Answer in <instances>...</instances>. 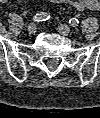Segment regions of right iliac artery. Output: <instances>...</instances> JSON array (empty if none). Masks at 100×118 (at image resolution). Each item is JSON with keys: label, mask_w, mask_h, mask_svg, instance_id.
Instances as JSON below:
<instances>
[{"label": "right iliac artery", "mask_w": 100, "mask_h": 118, "mask_svg": "<svg viewBox=\"0 0 100 118\" xmlns=\"http://www.w3.org/2000/svg\"><path fill=\"white\" fill-rule=\"evenodd\" d=\"M50 18V15L46 12H41V13H38L36 14L34 17H33V20L35 22H42V21H46Z\"/></svg>", "instance_id": "obj_1"}]
</instances>
